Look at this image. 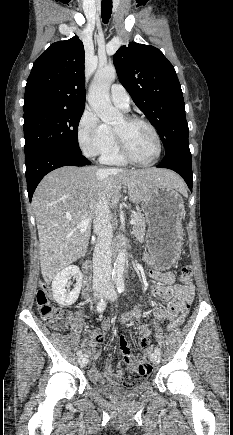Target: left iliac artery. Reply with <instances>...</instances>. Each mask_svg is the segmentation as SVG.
Instances as JSON below:
<instances>
[{
  "label": "left iliac artery",
  "instance_id": "1",
  "mask_svg": "<svg viewBox=\"0 0 233 435\" xmlns=\"http://www.w3.org/2000/svg\"><path fill=\"white\" fill-rule=\"evenodd\" d=\"M116 285H117L118 292L122 293L125 289L123 277H118L116 279ZM155 353L160 355V349L158 347H155Z\"/></svg>",
  "mask_w": 233,
  "mask_h": 435
}]
</instances>
